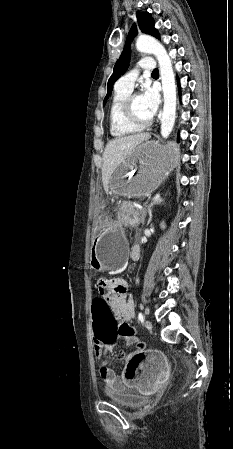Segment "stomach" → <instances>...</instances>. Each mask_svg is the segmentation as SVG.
Here are the masks:
<instances>
[{"label":"stomach","mask_w":233,"mask_h":449,"mask_svg":"<svg viewBox=\"0 0 233 449\" xmlns=\"http://www.w3.org/2000/svg\"><path fill=\"white\" fill-rule=\"evenodd\" d=\"M178 162V149L174 143L160 146L155 141L139 144L117 168L110 179L113 196L145 197L154 192ZM97 221H110V212H97ZM102 232L92 243L90 258L95 271L120 269L127 258L128 242L120 226L97 223Z\"/></svg>","instance_id":"obj_1"}]
</instances>
